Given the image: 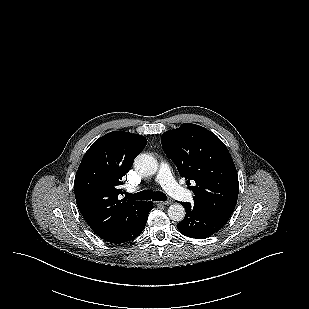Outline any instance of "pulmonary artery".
Wrapping results in <instances>:
<instances>
[{
    "instance_id": "e3ab8cb5",
    "label": "pulmonary artery",
    "mask_w": 309,
    "mask_h": 309,
    "mask_svg": "<svg viewBox=\"0 0 309 309\" xmlns=\"http://www.w3.org/2000/svg\"><path fill=\"white\" fill-rule=\"evenodd\" d=\"M159 180L166 192L173 198L180 201H191L193 199V193L177 183L166 163H162L160 166Z\"/></svg>"
}]
</instances>
